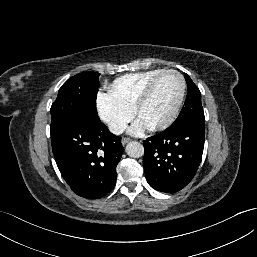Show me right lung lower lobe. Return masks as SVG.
<instances>
[{
  "label": "right lung lower lobe",
  "instance_id": "right-lung-lower-lobe-1",
  "mask_svg": "<svg viewBox=\"0 0 257 257\" xmlns=\"http://www.w3.org/2000/svg\"><path fill=\"white\" fill-rule=\"evenodd\" d=\"M51 143L62 177L78 196L98 199L114 188L124 148L103 123L68 122L51 132Z\"/></svg>",
  "mask_w": 257,
  "mask_h": 257
}]
</instances>
